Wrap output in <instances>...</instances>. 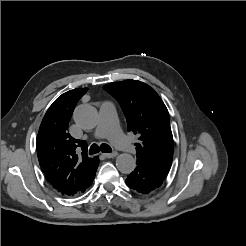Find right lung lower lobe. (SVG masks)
Instances as JSON below:
<instances>
[{"instance_id":"98d812e1","label":"right lung lower lobe","mask_w":246,"mask_h":246,"mask_svg":"<svg viewBox=\"0 0 246 246\" xmlns=\"http://www.w3.org/2000/svg\"><path fill=\"white\" fill-rule=\"evenodd\" d=\"M98 164H99V159H98ZM94 176H95V175H94ZM94 176H93V178L90 180V182L88 183V185L83 189L82 192H84V191L92 184L93 179H94Z\"/></svg>"}]
</instances>
